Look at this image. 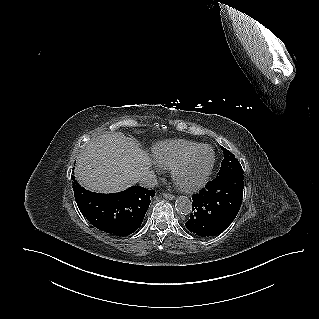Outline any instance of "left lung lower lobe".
Returning a JSON list of instances; mask_svg holds the SVG:
<instances>
[{"label":"left lung lower lobe","mask_w":319,"mask_h":319,"mask_svg":"<svg viewBox=\"0 0 319 319\" xmlns=\"http://www.w3.org/2000/svg\"><path fill=\"white\" fill-rule=\"evenodd\" d=\"M243 173H228L209 181L192 196V212L187 229L202 237L223 232L235 219L242 202Z\"/></svg>","instance_id":"left-lung-lower-lobe-1"}]
</instances>
